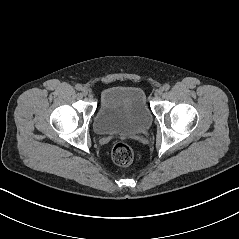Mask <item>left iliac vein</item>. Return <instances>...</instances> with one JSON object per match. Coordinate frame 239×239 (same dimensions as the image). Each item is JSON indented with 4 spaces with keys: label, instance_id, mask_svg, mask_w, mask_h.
Masks as SVG:
<instances>
[{
    "label": "left iliac vein",
    "instance_id": "left-iliac-vein-1",
    "mask_svg": "<svg viewBox=\"0 0 239 239\" xmlns=\"http://www.w3.org/2000/svg\"><path fill=\"white\" fill-rule=\"evenodd\" d=\"M163 91H164V88L161 87V88H159V89L157 90L156 94H157V95H162V94H163Z\"/></svg>",
    "mask_w": 239,
    "mask_h": 239
}]
</instances>
